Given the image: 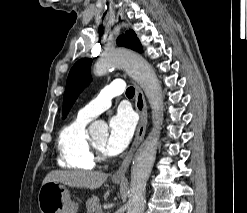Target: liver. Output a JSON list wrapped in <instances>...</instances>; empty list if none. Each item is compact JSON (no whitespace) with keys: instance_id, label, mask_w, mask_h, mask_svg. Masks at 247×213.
<instances>
[{"instance_id":"liver-1","label":"liver","mask_w":247,"mask_h":213,"mask_svg":"<svg viewBox=\"0 0 247 213\" xmlns=\"http://www.w3.org/2000/svg\"><path fill=\"white\" fill-rule=\"evenodd\" d=\"M107 178L108 174L102 172L55 170L46 175L43 184L57 182L71 187L94 190L100 188Z\"/></svg>"}]
</instances>
